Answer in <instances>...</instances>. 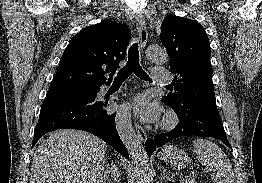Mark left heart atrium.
I'll list each match as a JSON object with an SVG mask.
<instances>
[{
  "label": "left heart atrium",
  "mask_w": 262,
  "mask_h": 183,
  "mask_svg": "<svg viewBox=\"0 0 262 183\" xmlns=\"http://www.w3.org/2000/svg\"><path fill=\"white\" fill-rule=\"evenodd\" d=\"M132 107L134 113L144 121L153 122L159 117L158 105L150 103L144 96L137 97L134 100Z\"/></svg>",
  "instance_id": "obj_1"
}]
</instances>
